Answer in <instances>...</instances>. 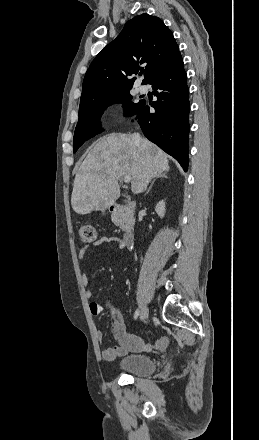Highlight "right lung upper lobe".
<instances>
[{"mask_svg":"<svg viewBox=\"0 0 259 440\" xmlns=\"http://www.w3.org/2000/svg\"><path fill=\"white\" fill-rule=\"evenodd\" d=\"M180 54L171 31L157 17L141 14L129 20L118 37L103 48L86 72L80 106L131 89L140 67L143 84Z\"/></svg>","mask_w":259,"mask_h":440,"instance_id":"1","label":"right lung upper lobe"}]
</instances>
